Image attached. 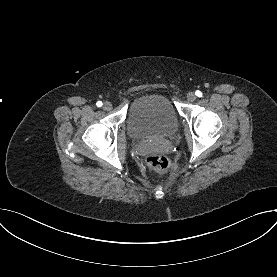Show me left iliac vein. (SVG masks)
I'll return each instance as SVG.
<instances>
[{
	"label": "left iliac vein",
	"mask_w": 277,
	"mask_h": 277,
	"mask_svg": "<svg viewBox=\"0 0 277 277\" xmlns=\"http://www.w3.org/2000/svg\"><path fill=\"white\" fill-rule=\"evenodd\" d=\"M187 99H188V101H190V102L195 101V100H196V94H195L194 92H189V93L187 94Z\"/></svg>",
	"instance_id": "left-iliac-vein-1"
}]
</instances>
